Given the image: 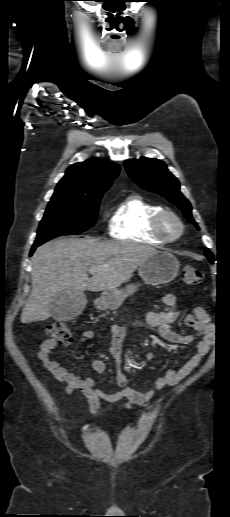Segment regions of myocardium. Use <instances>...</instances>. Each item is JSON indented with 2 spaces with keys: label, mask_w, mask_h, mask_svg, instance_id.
I'll return each mask as SVG.
<instances>
[{
  "label": "myocardium",
  "mask_w": 230,
  "mask_h": 517,
  "mask_svg": "<svg viewBox=\"0 0 230 517\" xmlns=\"http://www.w3.org/2000/svg\"><path fill=\"white\" fill-rule=\"evenodd\" d=\"M172 222L176 226V231H168V223ZM153 232L164 242H174L184 233V224L180 217L171 210L163 209L157 213L152 220Z\"/></svg>",
  "instance_id": "myocardium-1"
}]
</instances>
